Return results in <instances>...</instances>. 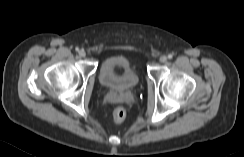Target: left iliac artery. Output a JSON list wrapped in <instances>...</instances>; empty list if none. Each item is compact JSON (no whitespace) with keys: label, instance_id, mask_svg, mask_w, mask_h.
Returning a JSON list of instances; mask_svg holds the SVG:
<instances>
[{"label":"left iliac artery","instance_id":"1","mask_svg":"<svg viewBox=\"0 0 244 157\" xmlns=\"http://www.w3.org/2000/svg\"><path fill=\"white\" fill-rule=\"evenodd\" d=\"M172 57H173L172 54H169V55H168V58H169V59H172Z\"/></svg>","mask_w":244,"mask_h":157}]
</instances>
